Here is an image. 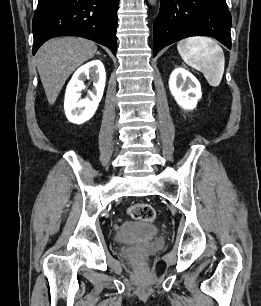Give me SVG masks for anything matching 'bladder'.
I'll list each match as a JSON object with an SVG mask.
<instances>
[{
    "label": "bladder",
    "mask_w": 261,
    "mask_h": 306,
    "mask_svg": "<svg viewBox=\"0 0 261 306\" xmlns=\"http://www.w3.org/2000/svg\"><path fill=\"white\" fill-rule=\"evenodd\" d=\"M159 232V228L151 223L126 221L117 227L114 239L118 244H129L152 239Z\"/></svg>",
    "instance_id": "1"
}]
</instances>
